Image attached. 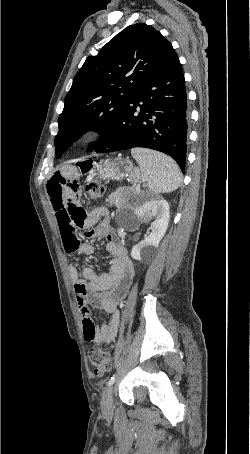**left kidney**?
Instances as JSON below:
<instances>
[{"mask_svg": "<svg viewBox=\"0 0 250 454\" xmlns=\"http://www.w3.org/2000/svg\"><path fill=\"white\" fill-rule=\"evenodd\" d=\"M134 214L138 223L153 220L151 233L135 245L131 251V257L133 259L141 260L144 257L155 254V250L168 228L169 204L163 199L148 200L137 208Z\"/></svg>", "mask_w": 250, "mask_h": 454, "instance_id": "1", "label": "left kidney"}]
</instances>
